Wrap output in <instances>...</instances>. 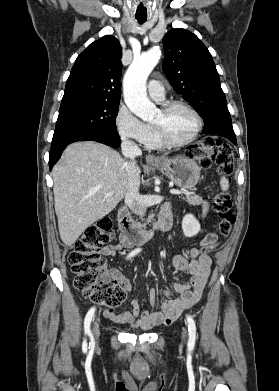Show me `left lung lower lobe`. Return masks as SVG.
Here are the masks:
<instances>
[{
  "mask_svg": "<svg viewBox=\"0 0 279 391\" xmlns=\"http://www.w3.org/2000/svg\"><path fill=\"white\" fill-rule=\"evenodd\" d=\"M223 137L229 139L233 144H236V137H235V135L225 134V135H223Z\"/></svg>",
  "mask_w": 279,
  "mask_h": 391,
  "instance_id": "1",
  "label": "left lung lower lobe"
}]
</instances>
